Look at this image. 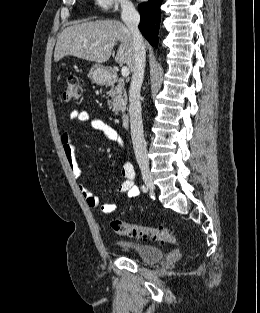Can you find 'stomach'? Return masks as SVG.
<instances>
[{
    "label": "stomach",
    "mask_w": 260,
    "mask_h": 313,
    "mask_svg": "<svg viewBox=\"0 0 260 313\" xmlns=\"http://www.w3.org/2000/svg\"><path fill=\"white\" fill-rule=\"evenodd\" d=\"M88 77L95 84H105L109 80V73L104 66L95 64L91 67Z\"/></svg>",
    "instance_id": "0dacf381"
}]
</instances>
